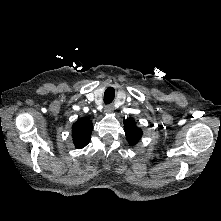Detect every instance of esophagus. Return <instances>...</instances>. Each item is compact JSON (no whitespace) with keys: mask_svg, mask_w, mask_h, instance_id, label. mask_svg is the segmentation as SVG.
I'll return each mask as SVG.
<instances>
[{"mask_svg":"<svg viewBox=\"0 0 221 221\" xmlns=\"http://www.w3.org/2000/svg\"><path fill=\"white\" fill-rule=\"evenodd\" d=\"M113 110H114V106L112 104H108L105 107V112H107V113H111Z\"/></svg>","mask_w":221,"mask_h":221,"instance_id":"34e87169","label":"esophagus"}]
</instances>
